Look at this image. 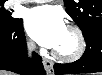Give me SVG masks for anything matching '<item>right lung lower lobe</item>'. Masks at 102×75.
Segmentation results:
<instances>
[{"mask_svg":"<svg viewBox=\"0 0 102 75\" xmlns=\"http://www.w3.org/2000/svg\"><path fill=\"white\" fill-rule=\"evenodd\" d=\"M0 69L21 75H45L42 57L33 53L28 59L23 21L12 25H0Z\"/></svg>","mask_w":102,"mask_h":75,"instance_id":"obj_1","label":"right lung lower lobe"}]
</instances>
